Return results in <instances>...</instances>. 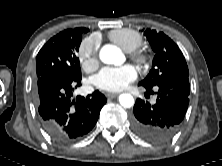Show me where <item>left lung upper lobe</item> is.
<instances>
[{"label": "left lung upper lobe", "mask_w": 222, "mask_h": 166, "mask_svg": "<svg viewBox=\"0 0 222 166\" xmlns=\"http://www.w3.org/2000/svg\"><path fill=\"white\" fill-rule=\"evenodd\" d=\"M144 35L155 52V57L152 69L139 85L153 88L166 79H188V66L177 44L163 32L156 30L146 29Z\"/></svg>", "instance_id": "left-lung-upper-lobe-1"}]
</instances>
